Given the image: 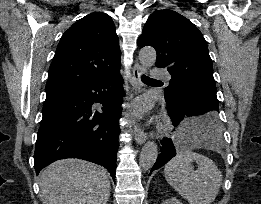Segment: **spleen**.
Masks as SVG:
<instances>
[{
  "instance_id": "3e777b00",
  "label": "spleen",
  "mask_w": 261,
  "mask_h": 204,
  "mask_svg": "<svg viewBox=\"0 0 261 204\" xmlns=\"http://www.w3.org/2000/svg\"><path fill=\"white\" fill-rule=\"evenodd\" d=\"M205 117L189 119L182 123L181 132H187L190 147L213 148L220 139L214 140L198 135V125ZM196 161L198 168L194 170L192 162ZM164 176L189 204H211L216 198L222 181V173L215 163L206 156L194 153L190 148L178 151L164 169Z\"/></svg>"
}]
</instances>
